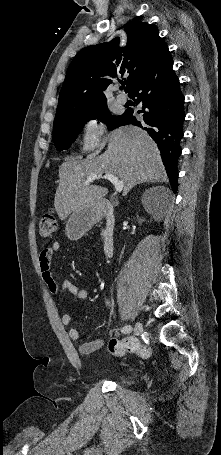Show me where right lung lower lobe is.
I'll return each mask as SVG.
<instances>
[{
	"instance_id": "98d812e1",
	"label": "right lung lower lobe",
	"mask_w": 221,
	"mask_h": 455,
	"mask_svg": "<svg viewBox=\"0 0 221 455\" xmlns=\"http://www.w3.org/2000/svg\"><path fill=\"white\" fill-rule=\"evenodd\" d=\"M173 60L168 49L134 85L130 97H138L142 103L141 121L132 116L133 110L127 109L119 125L132 123L146 130L157 143L161 152L171 187H178L177 161L181 155V139L185 121L184 96L179 88V79L172 69ZM118 125V126H119Z\"/></svg>"
}]
</instances>
